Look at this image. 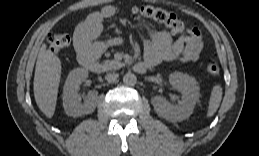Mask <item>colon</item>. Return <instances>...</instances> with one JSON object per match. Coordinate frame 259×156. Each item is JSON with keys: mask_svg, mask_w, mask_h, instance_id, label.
Listing matches in <instances>:
<instances>
[{"mask_svg": "<svg viewBox=\"0 0 259 156\" xmlns=\"http://www.w3.org/2000/svg\"><path fill=\"white\" fill-rule=\"evenodd\" d=\"M134 12L157 23L164 24L172 33L190 37L192 31L185 27L183 22L172 11L160 7L145 5L134 8ZM49 46L52 51L58 52L67 48L70 44V36L65 33H51L48 37ZM208 76H215L219 72V65L216 61H209L205 67Z\"/></svg>", "mask_w": 259, "mask_h": 156, "instance_id": "obj_1", "label": "colon"}]
</instances>
